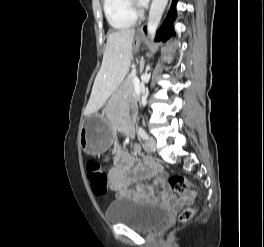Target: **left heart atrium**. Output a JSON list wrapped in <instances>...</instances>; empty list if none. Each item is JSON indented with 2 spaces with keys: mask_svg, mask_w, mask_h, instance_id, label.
<instances>
[{
  "mask_svg": "<svg viewBox=\"0 0 264 247\" xmlns=\"http://www.w3.org/2000/svg\"><path fill=\"white\" fill-rule=\"evenodd\" d=\"M149 0H138V3L140 5H146L148 3Z\"/></svg>",
  "mask_w": 264,
  "mask_h": 247,
  "instance_id": "39dd6f15",
  "label": "left heart atrium"
}]
</instances>
